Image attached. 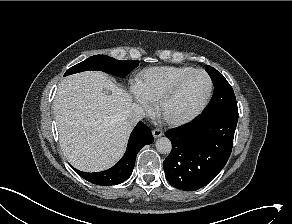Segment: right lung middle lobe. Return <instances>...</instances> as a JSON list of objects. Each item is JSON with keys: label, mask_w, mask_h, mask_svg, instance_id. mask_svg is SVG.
I'll return each mask as SVG.
<instances>
[{"label": "right lung middle lobe", "mask_w": 292, "mask_h": 224, "mask_svg": "<svg viewBox=\"0 0 292 224\" xmlns=\"http://www.w3.org/2000/svg\"><path fill=\"white\" fill-rule=\"evenodd\" d=\"M138 65L137 60L120 61L106 55H95L68 69L64 76L87 70H99L124 77Z\"/></svg>", "instance_id": "obj_1"}]
</instances>
